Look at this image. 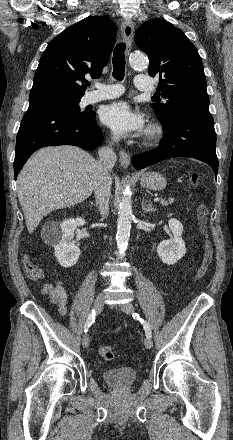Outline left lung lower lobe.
I'll list each match as a JSON object with an SVG mask.
<instances>
[{"label": "left lung lower lobe", "instance_id": "0a47b994", "mask_svg": "<svg viewBox=\"0 0 233 440\" xmlns=\"http://www.w3.org/2000/svg\"><path fill=\"white\" fill-rule=\"evenodd\" d=\"M163 131L159 147L133 156L135 168L143 169L173 157H190L209 164L215 175L217 174L216 133L209 110H182L168 126H163Z\"/></svg>", "mask_w": 233, "mask_h": 440}]
</instances>
